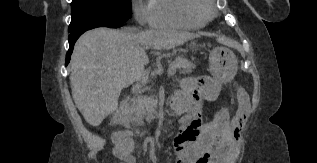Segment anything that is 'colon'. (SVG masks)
<instances>
[{
    "mask_svg": "<svg viewBox=\"0 0 317 163\" xmlns=\"http://www.w3.org/2000/svg\"><path fill=\"white\" fill-rule=\"evenodd\" d=\"M238 99L239 100L243 99V92H241L240 90L238 91Z\"/></svg>",
    "mask_w": 317,
    "mask_h": 163,
    "instance_id": "5ec220e1",
    "label": "colon"
}]
</instances>
